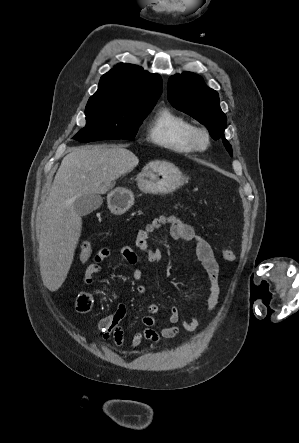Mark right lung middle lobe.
Returning a JSON list of instances; mask_svg holds the SVG:
<instances>
[{
  "instance_id": "dd1d6c3e",
  "label": "right lung middle lobe",
  "mask_w": 299,
  "mask_h": 443,
  "mask_svg": "<svg viewBox=\"0 0 299 443\" xmlns=\"http://www.w3.org/2000/svg\"><path fill=\"white\" fill-rule=\"evenodd\" d=\"M154 105L89 99L85 110L86 126L73 139L84 143L107 139L131 140Z\"/></svg>"
}]
</instances>
